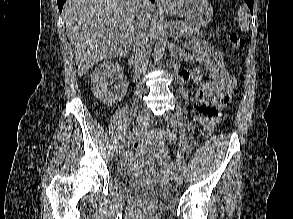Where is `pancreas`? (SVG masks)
Masks as SVG:
<instances>
[{"label": "pancreas", "mask_w": 293, "mask_h": 219, "mask_svg": "<svg viewBox=\"0 0 293 219\" xmlns=\"http://www.w3.org/2000/svg\"><path fill=\"white\" fill-rule=\"evenodd\" d=\"M176 28L181 35H184L187 37L199 36L200 34H201V37H204L202 35V32L199 31V28L195 25L190 24V23L178 22L176 25Z\"/></svg>", "instance_id": "1"}]
</instances>
